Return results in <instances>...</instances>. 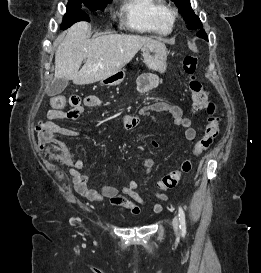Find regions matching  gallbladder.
Listing matches in <instances>:
<instances>
[{"label": "gallbladder", "instance_id": "1", "mask_svg": "<svg viewBox=\"0 0 261 273\" xmlns=\"http://www.w3.org/2000/svg\"><path fill=\"white\" fill-rule=\"evenodd\" d=\"M67 85H68V81L65 78H55L52 81L47 91V94L49 96L59 95L66 89Z\"/></svg>", "mask_w": 261, "mask_h": 273}]
</instances>
